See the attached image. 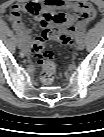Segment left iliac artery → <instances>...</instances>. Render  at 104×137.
Returning a JSON list of instances; mask_svg holds the SVG:
<instances>
[{
	"label": "left iliac artery",
	"instance_id": "obj_1",
	"mask_svg": "<svg viewBox=\"0 0 104 137\" xmlns=\"http://www.w3.org/2000/svg\"><path fill=\"white\" fill-rule=\"evenodd\" d=\"M84 35H85V31L81 32L79 39L82 40L84 38Z\"/></svg>",
	"mask_w": 104,
	"mask_h": 137
}]
</instances>
